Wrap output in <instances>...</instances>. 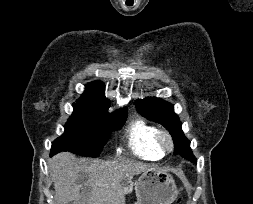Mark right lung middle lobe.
I'll return each mask as SVG.
<instances>
[{
    "mask_svg": "<svg viewBox=\"0 0 253 204\" xmlns=\"http://www.w3.org/2000/svg\"><path fill=\"white\" fill-rule=\"evenodd\" d=\"M74 112L65 125V133L52 143L51 155L70 151L82 156L98 157L112 130H118L127 114L113 117L104 110L74 103Z\"/></svg>",
    "mask_w": 253,
    "mask_h": 204,
    "instance_id": "dd1d6c3e",
    "label": "right lung middle lobe"
}]
</instances>
